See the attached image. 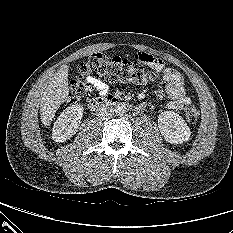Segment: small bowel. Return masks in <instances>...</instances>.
I'll list each match as a JSON object with an SVG mask.
<instances>
[{
	"label": "small bowel",
	"instance_id": "c3829d8e",
	"mask_svg": "<svg viewBox=\"0 0 233 233\" xmlns=\"http://www.w3.org/2000/svg\"><path fill=\"white\" fill-rule=\"evenodd\" d=\"M145 65L151 67L157 72L163 73V80L165 81V92L170 98L167 104L168 109L181 110L184 106L190 104L191 100L187 96L183 76L176 70L171 68H164L162 60L155 58L152 55L142 53L139 54ZM87 81L91 86L101 95H105L108 92V85L98 78L89 77ZM141 107L138 108L140 110Z\"/></svg>",
	"mask_w": 233,
	"mask_h": 233
}]
</instances>
